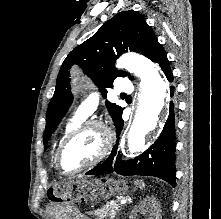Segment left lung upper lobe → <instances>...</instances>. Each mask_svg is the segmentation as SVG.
I'll list each match as a JSON object with an SVG mask.
<instances>
[{"instance_id": "5c2ea615", "label": "left lung upper lobe", "mask_w": 221, "mask_h": 219, "mask_svg": "<svg viewBox=\"0 0 221 219\" xmlns=\"http://www.w3.org/2000/svg\"><path fill=\"white\" fill-rule=\"evenodd\" d=\"M158 46L160 44L152 27L147 25L143 15L129 10L117 13L91 38L72 50L61 66L55 93L47 109L44 148H47V141L73 101L68 71L73 64L83 69L105 97V87L111 88L117 76L128 75L115 68V61L120 54L130 50L151 59ZM129 78L133 79L131 76ZM106 106L117 127L122 120L123 109L109 101H106Z\"/></svg>"}]
</instances>
